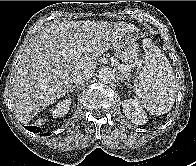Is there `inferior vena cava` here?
<instances>
[{"label": "inferior vena cava", "mask_w": 196, "mask_h": 166, "mask_svg": "<svg viewBox=\"0 0 196 166\" xmlns=\"http://www.w3.org/2000/svg\"><path fill=\"white\" fill-rule=\"evenodd\" d=\"M92 76V73L87 72V71H80L76 72L73 75V82L75 84H83L85 81H87L90 77Z\"/></svg>", "instance_id": "1"}]
</instances>
